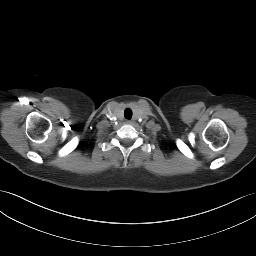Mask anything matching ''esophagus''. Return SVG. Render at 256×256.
<instances>
[{"label":"esophagus","instance_id":"obj_1","mask_svg":"<svg viewBox=\"0 0 256 256\" xmlns=\"http://www.w3.org/2000/svg\"><path fill=\"white\" fill-rule=\"evenodd\" d=\"M126 122H127V123H131V121H130V120H127Z\"/></svg>","mask_w":256,"mask_h":256}]
</instances>
